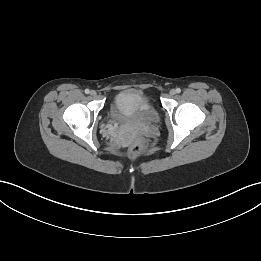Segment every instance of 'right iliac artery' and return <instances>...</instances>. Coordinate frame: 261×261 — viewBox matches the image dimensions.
Wrapping results in <instances>:
<instances>
[{"label":"right iliac artery","mask_w":261,"mask_h":261,"mask_svg":"<svg viewBox=\"0 0 261 261\" xmlns=\"http://www.w3.org/2000/svg\"><path fill=\"white\" fill-rule=\"evenodd\" d=\"M85 93H86V94H89V93H90V90H89V89H86V90H85Z\"/></svg>","instance_id":"obj_1"}]
</instances>
